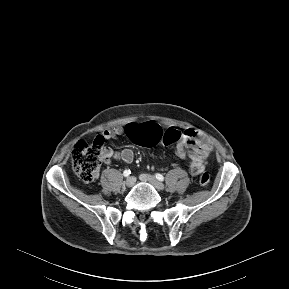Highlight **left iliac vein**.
<instances>
[{"mask_svg": "<svg viewBox=\"0 0 289 289\" xmlns=\"http://www.w3.org/2000/svg\"><path fill=\"white\" fill-rule=\"evenodd\" d=\"M139 178L143 182L150 183L159 191L164 190V185L160 181H158L155 177H153L152 175L141 174Z\"/></svg>", "mask_w": 289, "mask_h": 289, "instance_id": "left-iliac-vein-1", "label": "left iliac vein"}]
</instances>
